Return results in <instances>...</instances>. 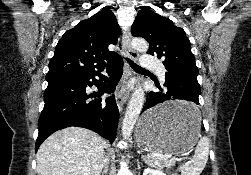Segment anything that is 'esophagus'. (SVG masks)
<instances>
[{
	"label": "esophagus",
	"mask_w": 251,
	"mask_h": 175,
	"mask_svg": "<svg viewBox=\"0 0 251 175\" xmlns=\"http://www.w3.org/2000/svg\"><path fill=\"white\" fill-rule=\"evenodd\" d=\"M123 47L129 59H132L134 61L138 59V53L135 52V50H133L131 46V35L129 32H125L124 34ZM133 74H134V71L129 66L126 67V72L121 78L119 84L117 85L116 103H117L119 111H122V108L124 105V93L129 85V80L133 76Z\"/></svg>",
	"instance_id": "obj_1"
}]
</instances>
